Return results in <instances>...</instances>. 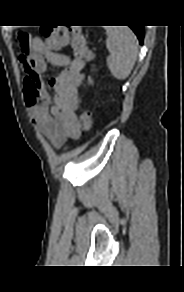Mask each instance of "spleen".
Here are the masks:
<instances>
[{
    "mask_svg": "<svg viewBox=\"0 0 184 292\" xmlns=\"http://www.w3.org/2000/svg\"><path fill=\"white\" fill-rule=\"evenodd\" d=\"M106 32V47L110 52L107 66L116 79L124 80L130 75L137 58V38L128 27H108Z\"/></svg>",
    "mask_w": 184,
    "mask_h": 292,
    "instance_id": "spleen-1",
    "label": "spleen"
}]
</instances>
